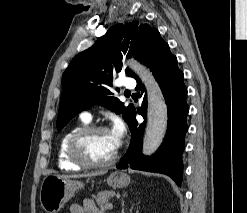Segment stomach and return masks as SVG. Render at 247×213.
<instances>
[{
  "label": "stomach",
  "instance_id": "0dacf381",
  "mask_svg": "<svg viewBox=\"0 0 247 213\" xmlns=\"http://www.w3.org/2000/svg\"><path fill=\"white\" fill-rule=\"evenodd\" d=\"M130 181V176L121 171L112 172L107 178V183L113 188L126 187ZM83 187V182L48 175L43 179L40 188L41 206L46 213H58L75 192Z\"/></svg>",
  "mask_w": 247,
  "mask_h": 213
}]
</instances>
